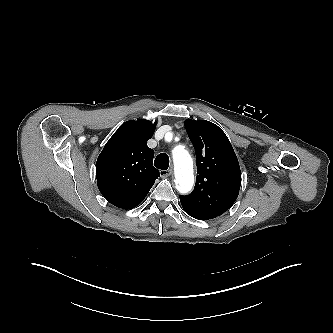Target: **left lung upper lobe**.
Masks as SVG:
<instances>
[{
  "instance_id": "5c2ea615",
  "label": "left lung upper lobe",
  "mask_w": 333,
  "mask_h": 333,
  "mask_svg": "<svg viewBox=\"0 0 333 333\" xmlns=\"http://www.w3.org/2000/svg\"><path fill=\"white\" fill-rule=\"evenodd\" d=\"M197 159L196 184L190 195H180L183 206L220 216L238 197L241 171L226 134L206 120L185 121Z\"/></svg>"
}]
</instances>
